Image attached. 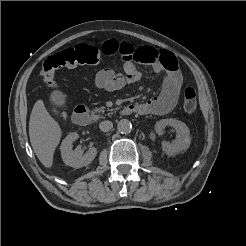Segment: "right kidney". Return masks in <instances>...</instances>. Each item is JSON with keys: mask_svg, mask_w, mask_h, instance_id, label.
<instances>
[{"mask_svg": "<svg viewBox=\"0 0 246 246\" xmlns=\"http://www.w3.org/2000/svg\"><path fill=\"white\" fill-rule=\"evenodd\" d=\"M79 138L78 133L73 132L65 137L60 150L64 163L75 169L87 166L90 164L97 155V149L95 147L89 148L88 152L83 155L81 147H77L72 150V143Z\"/></svg>", "mask_w": 246, "mask_h": 246, "instance_id": "ca27d5eb", "label": "right kidney"}]
</instances>
